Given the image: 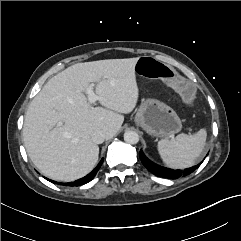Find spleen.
Here are the masks:
<instances>
[{
    "mask_svg": "<svg viewBox=\"0 0 241 241\" xmlns=\"http://www.w3.org/2000/svg\"><path fill=\"white\" fill-rule=\"evenodd\" d=\"M207 138L205 129H200L193 135L179 134L176 138L162 139L158 142V151L170 168L184 169L195 164L202 153Z\"/></svg>",
    "mask_w": 241,
    "mask_h": 241,
    "instance_id": "spleen-1",
    "label": "spleen"
}]
</instances>
